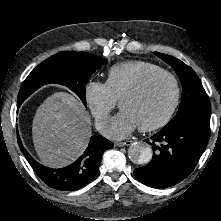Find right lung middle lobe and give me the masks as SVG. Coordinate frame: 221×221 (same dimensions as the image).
I'll return each mask as SVG.
<instances>
[{"instance_id": "1", "label": "right lung middle lobe", "mask_w": 221, "mask_h": 221, "mask_svg": "<svg viewBox=\"0 0 221 221\" xmlns=\"http://www.w3.org/2000/svg\"><path fill=\"white\" fill-rule=\"evenodd\" d=\"M107 60L86 52H61L39 64L23 82L18 106L35 90L49 83L61 84L76 93L86 106L84 84Z\"/></svg>"}]
</instances>
